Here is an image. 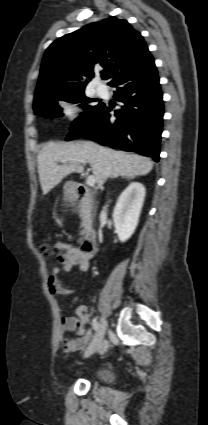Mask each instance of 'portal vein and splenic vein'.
<instances>
[{
    "label": "portal vein and splenic vein",
    "mask_w": 208,
    "mask_h": 425,
    "mask_svg": "<svg viewBox=\"0 0 208 425\" xmlns=\"http://www.w3.org/2000/svg\"><path fill=\"white\" fill-rule=\"evenodd\" d=\"M61 163H67V162H74V163H81V164H86L87 162L84 160H78V159H61L60 160ZM96 179L94 175H89L86 181V184L89 187H93L95 185Z\"/></svg>",
    "instance_id": "1"
}]
</instances>
